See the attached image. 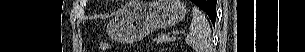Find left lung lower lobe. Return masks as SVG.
<instances>
[{"label":"left lung lower lobe","mask_w":305,"mask_h":52,"mask_svg":"<svg viewBox=\"0 0 305 52\" xmlns=\"http://www.w3.org/2000/svg\"><path fill=\"white\" fill-rule=\"evenodd\" d=\"M195 4H197V0H191ZM216 0H206L203 4L198 5L200 6L210 17L213 25H215V19H216Z\"/></svg>","instance_id":"1"}]
</instances>
